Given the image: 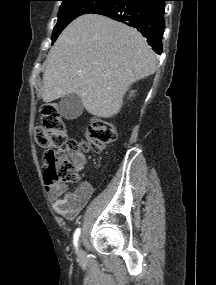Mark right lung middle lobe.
I'll list each match as a JSON object with an SVG mask.
<instances>
[{
    "mask_svg": "<svg viewBox=\"0 0 216 285\" xmlns=\"http://www.w3.org/2000/svg\"><path fill=\"white\" fill-rule=\"evenodd\" d=\"M62 1L58 21L52 34V44L62 30L77 17L96 11L114 0H60Z\"/></svg>",
    "mask_w": 216,
    "mask_h": 285,
    "instance_id": "1",
    "label": "right lung middle lobe"
}]
</instances>
